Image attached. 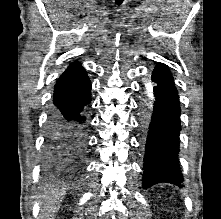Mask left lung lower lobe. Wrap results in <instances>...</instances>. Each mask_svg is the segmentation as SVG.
Listing matches in <instances>:
<instances>
[{
    "mask_svg": "<svg viewBox=\"0 0 221 219\" xmlns=\"http://www.w3.org/2000/svg\"><path fill=\"white\" fill-rule=\"evenodd\" d=\"M156 101L146 141L143 188L183 181L179 163L180 102L169 69L158 63L152 73Z\"/></svg>",
    "mask_w": 221,
    "mask_h": 219,
    "instance_id": "left-lung-lower-lobe-1",
    "label": "left lung lower lobe"
}]
</instances>
